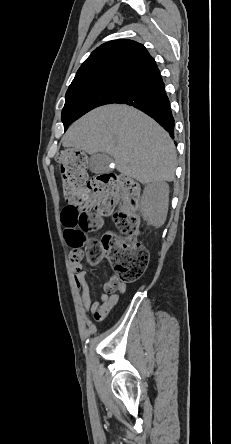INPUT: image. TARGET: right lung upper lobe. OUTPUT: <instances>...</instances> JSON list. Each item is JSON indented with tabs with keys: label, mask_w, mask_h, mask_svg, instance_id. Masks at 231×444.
<instances>
[{
	"label": "right lung upper lobe",
	"mask_w": 231,
	"mask_h": 444,
	"mask_svg": "<svg viewBox=\"0 0 231 444\" xmlns=\"http://www.w3.org/2000/svg\"><path fill=\"white\" fill-rule=\"evenodd\" d=\"M160 77V71L146 48L132 40H114L102 44L83 62L68 90L105 83L131 88Z\"/></svg>",
	"instance_id": "obj_1"
}]
</instances>
